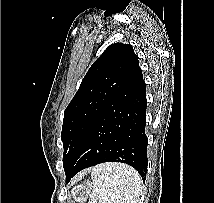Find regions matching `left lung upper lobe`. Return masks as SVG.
Segmentation results:
<instances>
[{"label": "left lung upper lobe", "mask_w": 214, "mask_h": 203, "mask_svg": "<svg viewBox=\"0 0 214 203\" xmlns=\"http://www.w3.org/2000/svg\"><path fill=\"white\" fill-rule=\"evenodd\" d=\"M138 67V56L134 53L133 47L123 43H114L107 47L90 67L64 111L61 133L64 170L73 161L94 120Z\"/></svg>", "instance_id": "5c2ea615"}]
</instances>
